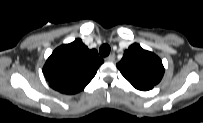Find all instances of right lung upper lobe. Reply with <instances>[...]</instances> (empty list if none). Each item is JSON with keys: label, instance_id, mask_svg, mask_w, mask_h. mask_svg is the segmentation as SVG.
Here are the masks:
<instances>
[{"label": "right lung upper lobe", "instance_id": "1", "mask_svg": "<svg viewBox=\"0 0 203 123\" xmlns=\"http://www.w3.org/2000/svg\"><path fill=\"white\" fill-rule=\"evenodd\" d=\"M103 62L95 49L89 50L81 39H76L53 51L43 67V73L53 89L75 94L85 88Z\"/></svg>", "mask_w": 203, "mask_h": 123}]
</instances>
